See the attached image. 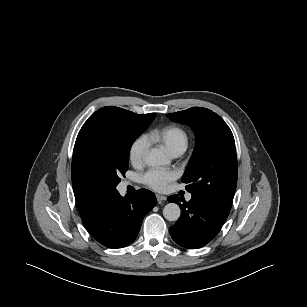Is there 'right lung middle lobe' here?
Returning a JSON list of instances; mask_svg holds the SVG:
<instances>
[{
    "label": "right lung middle lobe",
    "instance_id": "obj_1",
    "mask_svg": "<svg viewBox=\"0 0 307 307\" xmlns=\"http://www.w3.org/2000/svg\"><path fill=\"white\" fill-rule=\"evenodd\" d=\"M156 114L130 115L102 111L91 116L76 139L72 169L78 182L99 195L115 193L128 170L130 148Z\"/></svg>",
    "mask_w": 307,
    "mask_h": 307
}]
</instances>
